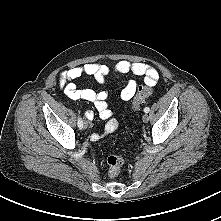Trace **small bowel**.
I'll return each instance as SVG.
<instances>
[{"instance_id":"1","label":"small bowel","mask_w":221,"mask_h":221,"mask_svg":"<svg viewBox=\"0 0 221 221\" xmlns=\"http://www.w3.org/2000/svg\"><path fill=\"white\" fill-rule=\"evenodd\" d=\"M126 73L142 76L144 82L149 86L155 85L159 79V73L155 68L143 62H130L127 60L118 61L112 68L100 62H89L64 70L59 75L58 85L69 98L92 102L100 118L106 121L103 132L92 134L91 139L93 141H99L104 138L105 135L114 132L118 128V122L113 117V111L107 103V93L105 91L81 89L78 88L74 81L83 75H90L93 76L99 84H104L110 75ZM136 88V81L129 80L120 93L121 100L129 101L134 96ZM85 117L88 121H91L94 118V112L92 110L85 111Z\"/></svg>"}]
</instances>
